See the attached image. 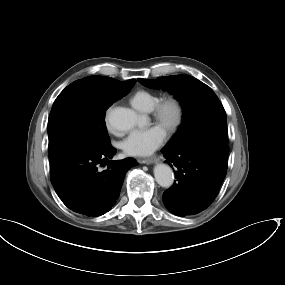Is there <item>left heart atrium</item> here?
Wrapping results in <instances>:
<instances>
[{
    "label": "left heart atrium",
    "mask_w": 285,
    "mask_h": 285,
    "mask_svg": "<svg viewBox=\"0 0 285 285\" xmlns=\"http://www.w3.org/2000/svg\"><path fill=\"white\" fill-rule=\"evenodd\" d=\"M165 138L164 127L156 124L146 129L133 130L123 141L122 148L129 156L144 157L159 148Z\"/></svg>",
    "instance_id": "39dd6f15"
}]
</instances>
